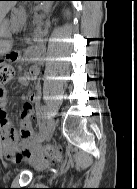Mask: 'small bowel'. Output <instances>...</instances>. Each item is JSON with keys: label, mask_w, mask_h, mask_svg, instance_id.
I'll return each instance as SVG.
<instances>
[{"label": "small bowel", "mask_w": 137, "mask_h": 189, "mask_svg": "<svg viewBox=\"0 0 137 189\" xmlns=\"http://www.w3.org/2000/svg\"><path fill=\"white\" fill-rule=\"evenodd\" d=\"M39 72L40 66L34 65L29 69L27 75L18 76L17 80L20 84L25 85L28 81L37 80ZM8 100L7 90L0 88V141L4 155L15 162H20L23 159H30L34 156L32 145L38 138L35 136L32 126L33 109L31 107L39 101V89L36 88L22 106L20 130L11 125L6 111Z\"/></svg>", "instance_id": "obj_1"}]
</instances>
